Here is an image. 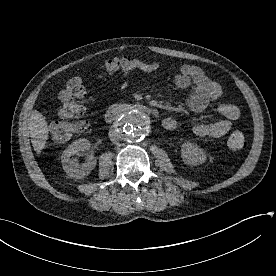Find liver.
Segmentation results:
<instances>
[{"label": "liver", "mask_w": 276, "mask_h": 276, "mask_svg": "<svg viewBox=\"0 0 276 276\" xmlns=\"http://www.w3.org/2000/svg\"><path fill=\"white\" fill-rule=\"evenodd\" d=\"M28 130L34 150L38 154L41 153L46 146L49 130L47 121L40 112H32L28 121Z\"/></svg>", "instance_id": "6515ba94"}]
</instances>
